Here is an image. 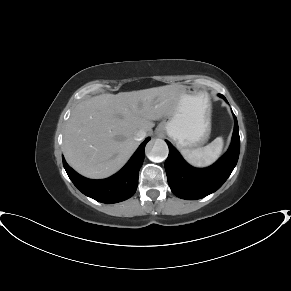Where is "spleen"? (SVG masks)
I'll use <instances>...</instances> for the list:
<instances>
[{
	"label": "spleen",
	"mask_w": 291,
	"mask_h": 291,
	"mask_svg": "<svg viewBox=\"0 0 291 291\" xmlns=\"http://www.w3.org/2000/svg\"><path fill=\"white\" fill-rule=\"evenodd\" d=\"M223 138L217 137L210 144L197 149H182L184 159L195 167H207L213 164L222 153Z\"/></svg>",
	"instance_id": "obj_1"
}]
</instances>
